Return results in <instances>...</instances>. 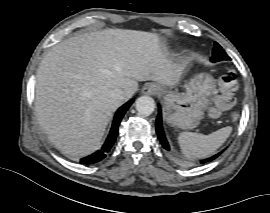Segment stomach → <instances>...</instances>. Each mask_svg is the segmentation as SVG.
Wrapping results in <instances>:
<instances>
[{
    "label": "stomach",
    "mask_w": 270,
    "mask_h": 213,
    "mask_svg": "<svg viewBox=\"0 0 270 213\" xmlns=\"http://www.w3.org/2000/svg\"><path fill=\"white\" fill-rule=\"evenodd\" d=\"M215 90L211 75L200 73L185 84V92L162 88L161 97L166 121L180 129H192L204 117Z\"/></svg>",
    "instance_id": "obj_1"
}]
</instances>
